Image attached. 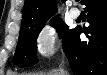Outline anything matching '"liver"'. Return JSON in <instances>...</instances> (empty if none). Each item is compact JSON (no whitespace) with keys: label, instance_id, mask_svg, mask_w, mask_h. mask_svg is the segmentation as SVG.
Returning a JSON list of instances; mask_svg holds the SVG:
<instances>
[{"label":"liver","instance_id":"obj_1","mask_svg":"<svg viewBox=\"0 0 107 75\" xmlns=\"http://www.w3.org/2000/svg\"><path fill=\"white\" fill-rule=\"evenodd\" d=\"M29 75H44V74H35V73H32V74H29ZM50 75H59V74L57 72V73H53V74H50Z\"/></svg>","mask_w":107,"mask_h":75}]
</instances>
